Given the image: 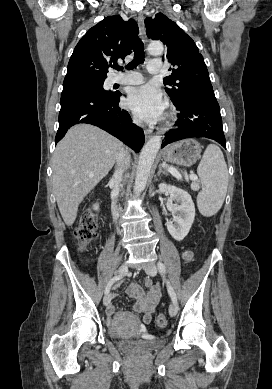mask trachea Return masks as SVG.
<instances>
[{"instance_id": "3493384b", "label": "trachea", "mask_w": 272, "mask_h": 389, "mask_svg": "<svg viewBox=\"0 0 272 389\" xmlns=\"http://www.w3.org/2000/svg\"><path fill=\"white\" fill-rule=\"evenodd\" d=\"M144 44L141 40H138V42L134 46V59L125 67L126 69H133L136 67V65H140L144 62ZM117 70H122V67H115Z\"/></svg>"}]
</instances>
